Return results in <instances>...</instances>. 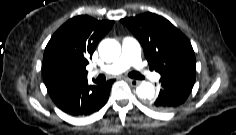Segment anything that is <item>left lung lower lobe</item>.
I'll use <instances>...</instances> for the list:
<instances>
[{
    "mask_svg": "<svg viewBox=\"0 0 236 135\" xmlns=\"http://www.w3.org/2000/svg\"><path fill=\"white\" fill-rule=\"evenodd\" d=\"M195 74H169L161 76V90L151 107L158 111H170L183 104L195 82Z\"/></svg>",
    "mask_w": 236,
    "mask_h": 135,
    "instance_id": "0a47b994",
    "label": "left lung lower lobe"
}]
</instances>
